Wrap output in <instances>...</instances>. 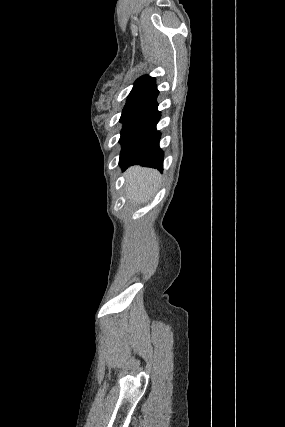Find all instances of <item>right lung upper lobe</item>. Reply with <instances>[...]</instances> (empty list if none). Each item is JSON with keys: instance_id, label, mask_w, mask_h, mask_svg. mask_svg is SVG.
Returning a JSON list of instances; mask_svg holds the SVG:
<instances>
[{"instance_id": "right-lung-upper-lobe-1", "label": "right lung upper lobe", "mask_w": 285, "mask_h": 427, "mask_svg": "<svg viewBox=\"0 0 285 427\" xmlns=\"http://www.w3.org/2000/svg\"><path fill=\"white\" fill-rule=\"evenodd\" d=\"M158 93L159 91L153 77L148 75L140 77L134 83L120 120L135 116H147L158 106L156 101Z\"/></svg>"}]
</instances>
